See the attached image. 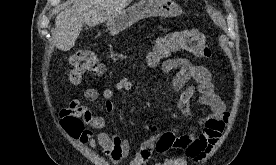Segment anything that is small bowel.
<instances>
[{
	"mask_svg": "<svg viewBox=\"0 0 276 165\" xmlns=\"http://www.w3.org/2000/svg\"><path fill=\"white\" fill-rule=\"evenodd\" d=\"M164 73L177 70L173 80V90L179 92L178 108L181 114L188 118L191 115V99L198 94L197 103L208 106L211 113L198 120L200 131H192L188 134H177L175 131H166L144 140L136 150L130 165H146L151 159L153 151L164 154L170 150H181L185 156L195 162L204 159L217 144L229 119V112L215 93L213 77L203 66L194 64L185 58H173L165 60L161 64ZM193 81V85H186ZM133 88V83L126 77L119 79L115 89L106 88L101 92L105 100L107 111L114 110L112 98L115 90L124 92ZM100 96L95 88H87L83 92V98L94 102ZM62 119H77L82 123V129L78 139L91 148L99 147L113 164H119L130 154L131 146L127 139L111 136L106 132L95 133L105 126L102 117L95 115L89 108L81 105L80 99H73L69 106L60 111Z\"/></svg>",
	"mask_w": 276,
	"mask_h": 165,
	"instance_id": "small-bowel-1",
	"label": "small bowel"
}]
</instances>
